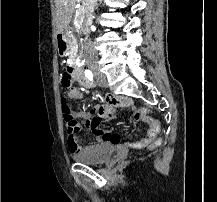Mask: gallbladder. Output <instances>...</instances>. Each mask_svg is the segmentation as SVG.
I'll return each mask as SVG.
<instances>
[{
	"instance_id": "1",
	"label": "gallbladder",
	"mask_w": 217,
	"mask_h": 202,
	"mask_svg": "<svg viewBox=\"0 0 217 202\" xmlns=\"http://www.w3.org/2000/svg\"><path fill=\"white\" fill-rule=\"evenodd\" d=\"M65 38H69V36H67V34H65Z\"/></svg>"
}]
</instances>
